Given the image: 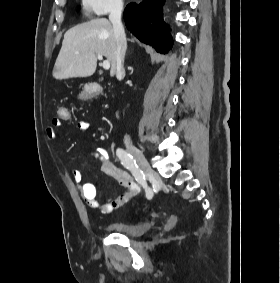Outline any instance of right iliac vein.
<instances>
[{
  "label": "right iliac vein",
  "mask_w": 280,
  "mask_h": 283,
  "mask_svg": "<svg viewBox=\"0 0 280 283\" xmlns=\"http://www.w3.org/2000/svg\"><path fill=\"white\" fill-rule=\"evenodd\" d=\"M128 150L133 155V157L135 158L141 169L144 171V173L146 175H151L153 173V170L151 169L143 152L139 148L133 145H130L128 147Z\"/></svg>",
  "instance_id": "right-iliac-vein-1"
}]
</instances>
